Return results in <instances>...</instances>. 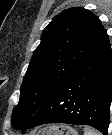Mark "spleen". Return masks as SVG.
<instances>
[{
    "label": "spleen",
    "instance_id": "spleen-1",
    "mask_svg": "<svg viewBox=\"0 0 112 135\" xmlns=\"http://www.w3.org/2000/svg\"><path fill=\"white\" fill-rule=\"evenodd\" d=\"M84 135H100L97 131L90 129V128H85L84 129Z\"/></svg>",
    "mask_w": 112,
    "mask_h": 135
}]
</instances>
